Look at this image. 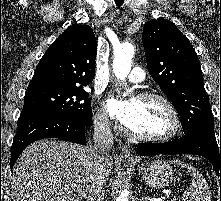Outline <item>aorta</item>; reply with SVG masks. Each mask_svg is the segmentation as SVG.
Listing matches in <instances>:
<instances>
[{
    "mask_svg": "<svg viewBox=\"0 0 221 201\" xmlns=\"http://www.w3.org/2000/svg\"><path fill=\"white\" fill-rule=\"evenodd\" d=\"M134 50L131 43H123L114 50L113 71L118 79L124 80L128 76ZM116 201H129V191L123 190Z\"/></svg>",
    "mask_w": 221,
    "mask_h": 201,
    "instance_id": "aorta-1",
    "label": "aorta"
}]
</instances>
